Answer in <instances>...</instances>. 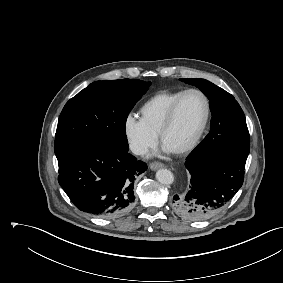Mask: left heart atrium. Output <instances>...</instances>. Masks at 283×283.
I'll return each instance as SVG.
<instances>
[{
  "instance_id": "1",
  "label": "left heart atrium",
  "mask_w": 283,
  "mask_h": 283,
  "mask_svg": "<svg viewBox=\"0 0 283 283\" xmlns=\"http://www.w3.org/2000/svg\"><path fill=\"white\" fill-rule=\"evenodd\" d=\"M162 152L163 153H171L173 152L171 149H169L166 145L163 144L162 146Z\"/></svg>"
}]
</instances>
